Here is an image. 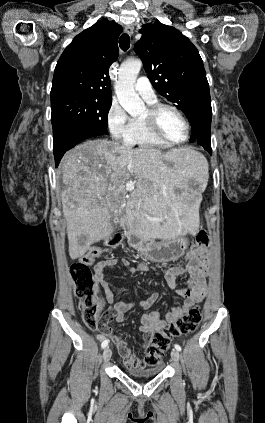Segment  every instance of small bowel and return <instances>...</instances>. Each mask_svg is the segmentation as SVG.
<instances>
[{
	"label": "small bowel",
	"mask_w": 265,
	"mask_h": 423,
	"mask_svg": "<svg viewBox=\"0 0 265 423\" xmlns=\"http://www.w3.org/2000/svg\"><path fill=\"white\" fill-rule=\"evenodd\" d=\"M187 264L185 267L175 266L163 271L167 285L174 290L180 297L184 299L182 305L174 307L164 318L158 312H149L142 315L140 331L144 335L143 348L146 349L149 345L150 337L163 329L168 323L175 322L179 317L186 314L193 306L202 300L206 294V278L211 268V257L207 249L194 257H186ZM118 262V258L110 257L98 262L94 267L96 279L100 283L105 292L107 301L109 302V311L112 313L115 322L123 323L125 314L134 308L147 310L153 306L155 301L159 298V293L153 291L149 297L141 301L139 304L125 303L118 301L111 290V285L106 277V270L114 266ZM121 263L130 272L146 271L148 267L143 263H138L131 266L130 262L122 258ZM186 275L188 277L185 287H179L176 280L179 276ZM108 336L116 345L120 356L123 358L124 364L128 367H136V364L143 360L136 356L127 342L120 336L110 333L98 335V339L102 340Z\"/></svg>",
	"instance_id": "1"
}]
</instances>
